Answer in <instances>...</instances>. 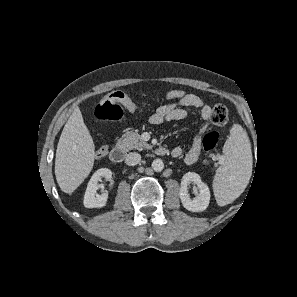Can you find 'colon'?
Listing matches in <instances>:
<instances>
[{"label":"colon","mask_w":297,"mask_h":297,"mask_svg":"<svg viewBox=\"0 0 297 297\" xmlns=\"http://www.w3.org/2000/svg\"><path fill=\"white\" fill-rule=\"evenodd\" d=\"M187 93L184 90H170L165 94L167 100H179ZM134 103L133 100L124 92L115 91L103 99L95 108V116L101 121L119 122L123 117L121 106L126 108L127 105ZM229 111L223 104L215 105L210 115V121L216 126H223L228 122ZM219 140L217 132H211L203 138L205 151H212ZM108 154V146L102 145L96 151L97 158H104Z\"/></svg>","instance_id":"colon-1"}]
</instances>
